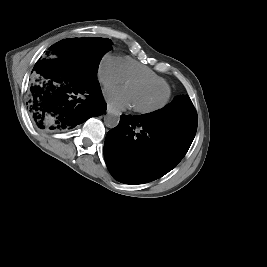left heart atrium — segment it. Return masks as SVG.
Segmentation results:
<instances>
[{
    "label": "left heart atrium",
    "instance_id": "obj_1",
    "mask_svg": "<svg viewBox=\"0 0 267 267\" xmlns=\"http://www.w3.org/2000/svg\"><path fill=\"white\" fill-rule=\"evenodd\" d=\"M104 96L109 105L115 109L121 110L132 106L131 94L127 87L106 88Z\"/></svg>",
    "mask_w": 267,
    "mask_h": 267
}]
</instances>
